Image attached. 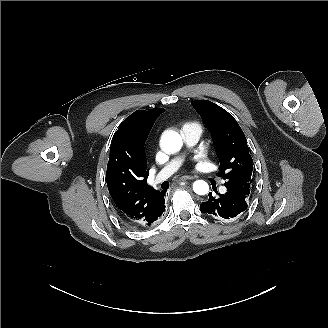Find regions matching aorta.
<instances>
[{
    "mask_svg": "<svg viewBox=\"0 0 328 328\" xmlns=\"http://www.w3.org/2000/svg\"><path fill=\"white\" fill-rule=\"evenodd\" d=\"M161 145L167 152H177L181 149L183 142L181 136L175 131H168L161 137ZM193 190L198 195H205L209 192V185L203 180L193 183Z\"/></svg>",
    "mask_w": 328,
    "mask_h": 328,
    "instance_id": "obj_1",
    "label": "aorta"
}]
</instances>
